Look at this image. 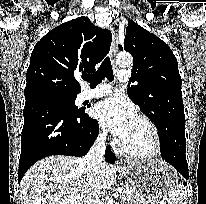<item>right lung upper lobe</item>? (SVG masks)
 I'll list each match as a JSON object with an SVG mask.
<instances>
[{"label":"right lung upper lobe","instance_id":"right-lung-upper-lobe-1","mask_svg":"<svg viewBox=\"0 0 206 204\" xmlns=\"http://www.w3.org/2000/svg\"><path fill=\"white\" fill-rule=\"evenodd\" d=\"M112 34L78 17L47 33L34 47L26 74L25 97L77 95L76 77L95 71L109 52Z\"/></svg>","mask_w":206,"mask_h":204}]
</instances>
